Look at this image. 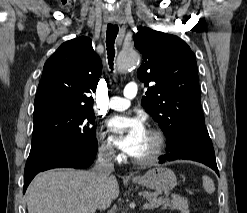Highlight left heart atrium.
<instances>
[{
    "mask_svg": "<svg viewBox=\"0 0 247 213\" xmlns=\"http://www.w3.org/2000/svg\"><path fill=\"white\" fill-rule=\"evenodd\" d=\"M116 144L129 155L134 156L140 149L147 134L141 118L115 116L108 122Z\"/></svg>",
    "mask_w": 247,
    "mask_h": 213,
    "instance_id": "1",
    "label": "left heart atrium"
}]
</instances>
